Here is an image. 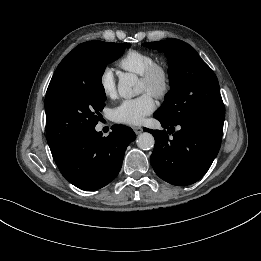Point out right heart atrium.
Instances as JSON below:
<instances>
[{
    "label": "right heart atrium",
    "instance_id": "1",
    "mask_svg": "<svg viewBox=\"0 0 261 261\" xmlns=\"http://www.w3.org/2000/svg\"><path fill=\"white\" fill-rule=\"evenodd\" d=\"M99 86L102 93L107 97H112L116 93V78L114 71L110 67H105L99 75Z\"/></svg>",
    "mask_w": 261,
    "mask_h": 261
}]
</instances>
